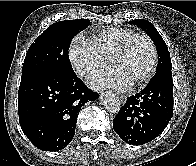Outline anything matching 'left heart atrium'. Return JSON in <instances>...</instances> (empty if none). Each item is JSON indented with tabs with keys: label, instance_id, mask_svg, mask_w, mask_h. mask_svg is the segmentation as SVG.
I'll return each mask as SVG.
<instances>
[{
	"label": "left heart atrium",
	"instance_id": "1",
	"mask_svg": "<svg viewBox=\"0 0 196 166\" xmlns=\"http://www.w3.org/2000/svg\"><path fill=\"white\" fill-rule=\"evenodd\" d=\"M88 83L93 88H112L119 91L127 90L132 86V82L114 67L91 74Z\"/></svg>",
	"mask_w": 196,
	"mask_h": 166
}]
</instances>
